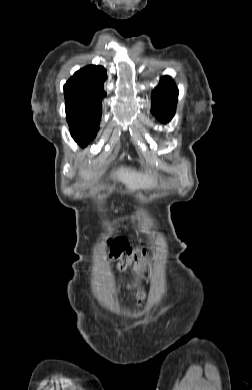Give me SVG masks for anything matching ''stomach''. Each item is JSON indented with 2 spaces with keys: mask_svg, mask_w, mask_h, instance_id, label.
<instances>
[{
  "mask_svg": "<svg viewBox=\"0 0 252 390\" xmlns=\"http://www.w3.org/2000/svg\"><path fill=\"white\" fill-rule=\"evenodd\" d=\"M143 228H144V229L147 228V225H144Z\"/></svg>",
  "mask_w": 252,
  "mask_h": 390,
  "instance_id": "stomach-1",
  "label": "stomach"
}]
</instances>
